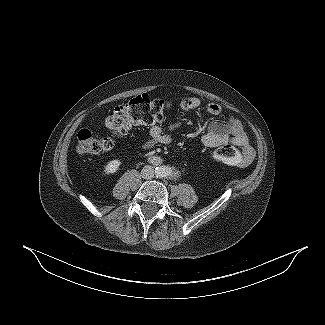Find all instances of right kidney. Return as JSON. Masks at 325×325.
Masks as SVG:
<instances>
[{
    "instance_id": "obj_1",
    "label": "right kidney",
    "mask_w": 325,
    "mask_h": 325,
    "mask_svg": "<svg viewBox=\"0 0 325 325\" xmlns=\"http://www.w3.org/2000/svg\"><path fill=\"white\" fill-rule=\"evenodd\" d=\"M121 165V161L118 159H114L109 161L105 166V172L107 174H113L119 170V166Z\"/></svg>"
}]
</instances>
